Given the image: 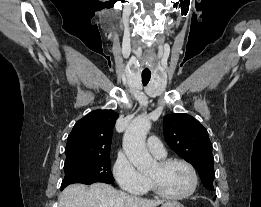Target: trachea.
I'll return each mask as SVG.
<instances>
[{
    "label": "trachea",
    "mask_w": 261,
    "mask_h": 207,
    "mask_svg": "<svg viewBox=\"0 0 261 207\" xmlns=\"http://www.w3.org/2000/svg\"><path fill=\"white\" fill-rule=\"evenodd\" d=\"M150 78H151V73H147V74L142 73V83L144 86H146L149 83Z\"/></svg>",
    "instance_id": "1"
}]
</instances>
